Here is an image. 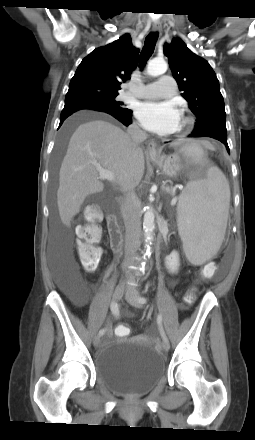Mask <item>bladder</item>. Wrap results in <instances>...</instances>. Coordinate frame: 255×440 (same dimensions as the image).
Masks as SVG:
<instances>
[{"label":"bladder","instance_id":"1","mask_svg":"<svg viewBox=\"0 0 255 440\" xmlns=\"http://www.w3.org/2000/svg\"><path fill=\"white\" fill-rule=\"evenodd\" d=\"M95 367L97 378L107 388L141 395L163 377L165 361L154 347L128 337L108 340L96 358Z\"/></svg>","mask_w":255,"mask_h":440}]
</instances>
